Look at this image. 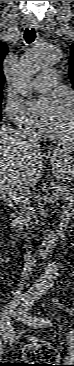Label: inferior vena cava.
Listing matches in <instances>:
<instances>
[{
	"mask_svg": "<svg viewBox=\"0 0 74 366\" xmlns=\"http://www.w3.org/2000/svg\"><path fill=\"white\" fill-rule=\"evenodd\" d=\"M20 137L21 139L23 140V143L24 144H28L30 145L31 147H39V140H38V136L35 132H32L30 130H22L21 133H20ZM18 226L21 228V229H27V220L24 219L22 216H20L19 218H17L16 220ZM26 247V245H25ZM31 253L30 252H27V254H25V265H24V269H23V273H22V277L23 279H26L28 278V273L27 271H31L30 270V265L32 264L31 260ZM22 279V280H23ZM20 288H22V286H20ZM16 294H21V290H16L15 292Z\"/></svg>",
	"mask_w": 74,
	"mask_h": 366,
	"instance_id": "obj_1",
	"label": "inferior vena cava"
}]
</instances>
